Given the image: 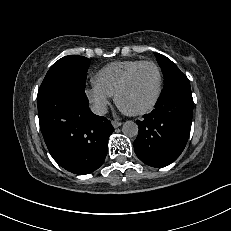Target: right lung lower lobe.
I'll return each mask as SVG.
<instances>
[{
	"label": "right lung lower lobe",
	"instance_id": "right-lung-lower-lobe-1",
	"mask_svg": "<svg viewBox=\"0 0 231 231\" xmlns=\"http://www.w3.org/2000/svg\"><path fill=\"white\" fill-rule=\"evenodd\" d=\"M84 88L56 85L37 97L38 116L47 148L55 161L75 174L98 169L114 131L105 117L93 114Z\"/></svg>",
	"mask_w": 231,
	"mask_h": 231
}]
</instances>
